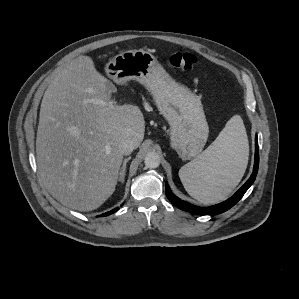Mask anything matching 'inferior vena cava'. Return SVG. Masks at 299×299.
I'll list each match as a JSON object with an SVG mask.
<instances>
[{"label":"inferior vena cava","instance_id":"obj_1","mask_svg":"<svg viewBox=\"0 0 299 299\" xmlns=\"http://www.w3.org/2000/svg\"><path fill=\"white\" fill-rule=\"evenodd\" d=\"M137 147V144L132 140H124L119 145V152L122 155H129Z\"/></svg>","mask_w":299,"mask_h":299}]
</instances>
